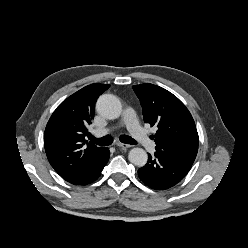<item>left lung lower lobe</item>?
<instances>
[{"instance_id": "left-lung-lower-lobe-1", "label": "left lung lower lobe", "mask_w": 248, "mask_h": 248, "mask_svg": "<svg viewBox=\"0 0 248 248\" xmlns=\"http://www.w3.org/2000/svg\"><path fill=\"white\" fill-rule=\"evenodd\" d=\"M192 164L159 153L149 154L146 165L138 170V176L155 190H165L179 183L189 172Z\"/></svg>"}]
</instances>
